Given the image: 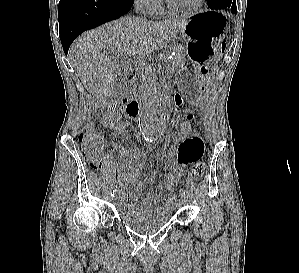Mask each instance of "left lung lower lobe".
Listing matches in <instances>:
<instances>
[{
    "mask_svg": "<svg viewBox=\"0 0 299 273\" xmlns=\"http://www.w3.org/2000/svg\"><path fill=\"white\" fill-rule=\"evenodd\" d=\"M208 7L211 9H230L236 14V0H207Z\"/></svg>",
    "mask_w": 299,
    "mask_h": 273,
    "instance_id": "left-lung-lower-lobe-1",
    "label": "left lung lower lobe"
}]
</instances>
